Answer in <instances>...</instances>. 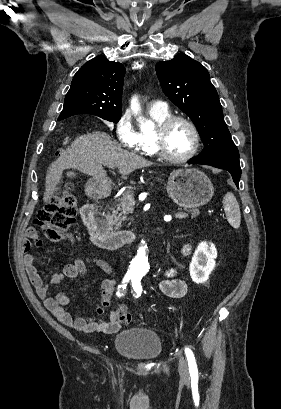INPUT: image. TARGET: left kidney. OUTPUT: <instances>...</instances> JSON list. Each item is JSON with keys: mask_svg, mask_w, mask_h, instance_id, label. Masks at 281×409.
Masks as SVG:
<instances>
[{"mask_svg": "<svg viewBox=\"0 0 281 409\" xmlns=\"http://www.w3.org/2000/svg\"><path fill=\"white\" fill-rule=\"evenodd\" d=\"M217 249L213 243H199L190 263V277L194 283H205L209 275L215 269Z\"/></svg>", "mask_w": 281, "mask_h": 409, "instance_id": "1", "label": "left kidney"}]
</instances>
